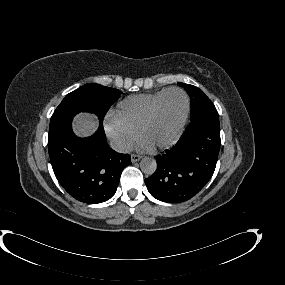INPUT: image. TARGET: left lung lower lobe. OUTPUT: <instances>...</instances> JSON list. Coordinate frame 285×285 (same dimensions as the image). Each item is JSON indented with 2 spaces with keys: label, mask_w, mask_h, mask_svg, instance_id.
I'll return each mask as SVG.
<instances>
[{
  "label": "left lung lower lobe",
  "mask_w": 285,
  "mask_h": 285,
  "mask_svg": "<svg viewBox=\"0 0 285 285\" xmlns=\"http://www.w3.org/2000/svg\"><path fill=\"white\" fill-rule=\"evenodd\" d=\"M220 150V124L216 108L191 119L179 141L162 156L157 169L145 179L158 200L179 203L191 199L212 177Z\"/></svg>",
  "instance_id": "left-lung-lower-lobe-1"
}]
</instances>
